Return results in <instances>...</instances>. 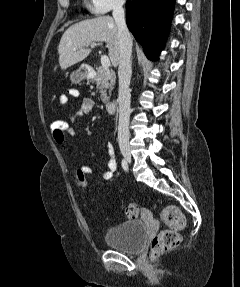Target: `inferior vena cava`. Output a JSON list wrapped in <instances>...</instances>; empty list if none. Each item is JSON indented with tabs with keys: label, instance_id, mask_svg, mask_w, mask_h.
<instances>
[{
	"label": "inferior vena cava",
	"instance_id": "1",
	"mask_svg": "<svg viewBox=\"0 0 240 287\" xmlns=\"http://www.w3.org/2000/svg\"><path fill=\"white\" fill-rule=\"evenodd\" d=\"M124 3L125 0H114L112 15L117 25L119 37L118 142L120 148H129V119L131 113L129 85L132 74V38L125 22Z\"/></svg>",
	"mask_w": 240,
	"mask_h": 287
}]
</instances>
